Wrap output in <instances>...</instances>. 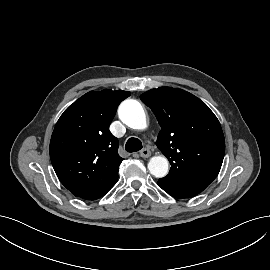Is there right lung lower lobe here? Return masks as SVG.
Segmentation results:
<instances>
[{
	"label": "right lung lower lobe",
	"instance_id": "1",
	"mask_svg": "<svg viewBox=\"0 0 270 270\" xmlns=\"http://www.w3.org/2000/svg\"><path fill=\"white\" fill-rule=\"evenodd\" d=\"M115 182L112 183L111 185L105 187L104 189H101V190L97 191V192L84 194V195H81L79 197L80 198H83V199H86V200H95V199H98V198L102 197L104 194H106L112 188V186L115 184Z\"/></svg>",
	"mask_w": 270,
	"mask_h": 270
}]
</instances>
